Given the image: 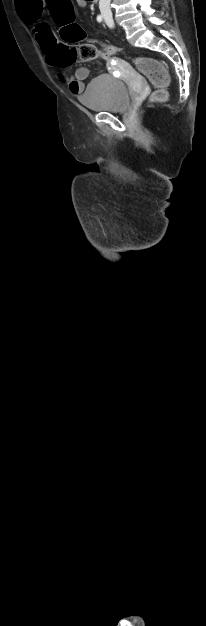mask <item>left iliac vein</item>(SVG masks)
Returning a JSON list of instances; mask_svg holds the SVG:
<instances>
[{
	"label": "left iliac vein",
	"instance_id": "obj_1",
	"mask_svg": "<svg viewBox=\"0 0 206 626\" xmlns=\"http://www.w3.org/2000/svg\"><path fill=\"white\" fill-rule=\"evenodd\" d=\"M106 23H107V25H108L110 28L114 27V23H113V21H108V20H107V21H106Z\"/></svg>",
	"mask_w": 206,
	"mask_h": 626
}]
</instances>
